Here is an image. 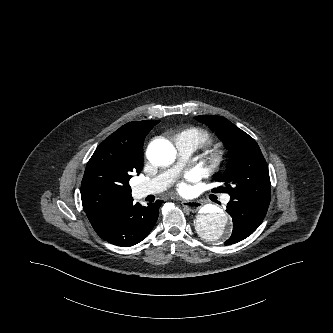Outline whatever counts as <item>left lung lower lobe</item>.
Here are the masks:
<instances>
[{"mask_svg": "<svg viewBox=\"0 0 333 333\" xmlns=\"http://www.w3.org/2000/svg\"><path fill=\"white\" fill-rule=\"evenodd\" d=\"M267 210L263 205L230 199L227 212L233 220V231L224 244H234L251 235L262 223Z\"/></svg>", "mask_w": 333, "mask_h": 333, "instance_id": "left-lung-lower-lobe-1", "label": "left lung lower lobe"}]
</instances>
